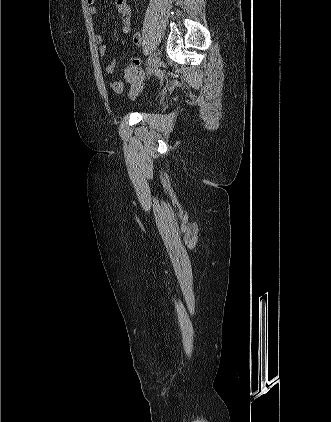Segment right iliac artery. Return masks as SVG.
<instances>
[{"label":"right iliac artery","instance_id":"right-iliac-artery-1","mask_svg":"<svg viewBox=\"0 0 331 422\" xmlns=\"http://www.w3.org/2000/svg\"><path fill=\"white\" fill-rule=\"evenodd\" d=\"M152 61H153L152 52H149V58H148V60L146 62V66L151 65L152 64Z\"/></svg>","mask_w":331,"mask_h":422}]
</instances>
